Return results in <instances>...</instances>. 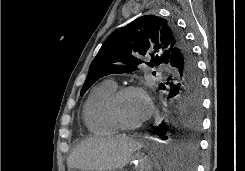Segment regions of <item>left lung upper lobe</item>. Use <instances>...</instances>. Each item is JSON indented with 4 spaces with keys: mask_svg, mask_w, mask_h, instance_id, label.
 I'll list each match as a JSON object with an SVG mask.
<instances>
[{
    "mask_svg": "<svg viewBox=\"0 0 245 171\" xmlns=\"http://www.w3.org/2000/svg\"><path fill=\"white\" fill-rule=\"evenodd\" d=\"M187 42L171 20L156 15L137 18L113 32L103 43L89 67L81 96L100 78L109 74L132 73L149 54L148 66L168 64L171 55Z\"/></svg>",
    "mask_w": 245,
    "mask_h": 171,
    "instance_id": "5c2ea615",
    "label": "left lung upper lobe"
}]
</instances>
